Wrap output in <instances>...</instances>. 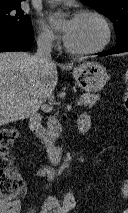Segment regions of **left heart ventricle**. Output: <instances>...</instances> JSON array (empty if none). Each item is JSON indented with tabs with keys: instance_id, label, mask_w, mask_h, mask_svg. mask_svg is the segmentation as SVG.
<instances>
[{
	"instance_id": "obj_1",
	"label": "left heart ventricle",
	"mask_w": 128,
	"mask_h": 213,
	"mask_svg": "<svg viewBox=\"0 0 128 213\" xmlns=\"http://www.w3.org/2000/svg\"><path fill=\"white\" fill-rule=\"evenodd\" d=\"M104 38L101 22L91 16L74 18L66 39L75 49H90L98 46Z\"/></svg>"
}]
</instances>
